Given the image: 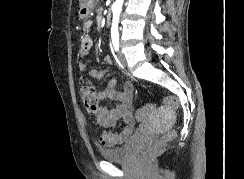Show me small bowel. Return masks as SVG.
Instances as JSON below:
<instances>
[{
    "instance_id": "small-bowel-1",
    "label": "small bowel",
    "mask_w": 244,
    "mask_h": 179,
    "mask_svg": "<svg viewBox=\"0 0 244 179\" xmlns=\"http://www.w3.org/2000/svg\"><path fill=\"white\" fill-rule=\"evenodd\" d=\"M92 25L91 20H87L84 23V33L79 37L76 44L78 58L86 57L92 48L93 40L90 35ZM105 63L110 65L112 59L107 56ZM78 68L84 71L86 65L79 61ZM104 76L105 72L101 70L93 69L89 72V77L93 80H100ZM115 85V79H111L106 87L97 93V99L99 101L109 99L116 103L112 108L101 106L96 114L99 125L112 128L111 130L104 131L100 136V142L106 146H115L123 143L132 133L136 123L135 117L132 114L133 83H125L122 90H117ZM121 123L125 124L122 128L120 127Z\"/></svg>"
}]
</instances>
